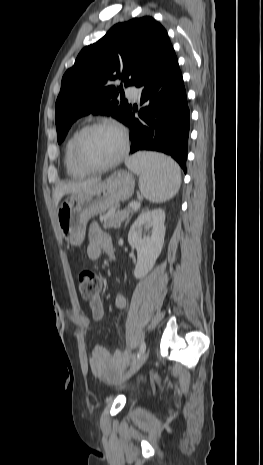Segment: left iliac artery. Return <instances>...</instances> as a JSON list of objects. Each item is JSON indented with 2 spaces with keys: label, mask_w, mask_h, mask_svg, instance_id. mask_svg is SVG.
I'll return each mask as SVG.
<instances>
[{
  "label": "left iliac artery",
  "mask_w": 263,
  "mask_h": 465,
  "mask_svg": "<svg viewBox=\"0 0 263 465\" xmlns=\"http://www.w3.org/2000/svg\"><path fill=\"white\" fill-rule=\"evenodd\" d=\"M145 350H146V344H145L144 341H142L141 344H140L139 351H138L137 355L134 357L132 363H134L137 359H139L140 356L145 352Z\"/></svg>",
  "instance_id": "44dca946"
}]
</instances>
